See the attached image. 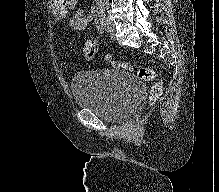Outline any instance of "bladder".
Instances as JSON below:
<instances>
[{
	"label": "bladder",
	"mask_w": 219,
	"mask_h": 192,
	"mask_svg": "<svg viewBox=\"0 0 219 192\" xmlns=\"http://www.w3.org/2000/svg\"><path fill=\"white\" fill-rule=\"evenodd\" d=\"M71 88L77 107L91 110L108 122H121L133 113L143 92L128 73L114 68L78 72Z\"/></svg>",
	"instance_id": "1"
}]
</instances>
